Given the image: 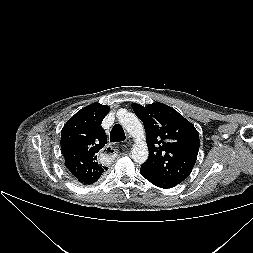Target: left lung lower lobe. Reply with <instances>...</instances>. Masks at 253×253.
Segmentation results:
<instances>
[{
	"instance_id": "1",
	"label": "left lung lower lobe",
	"mask_w": 253,
	"mask_h": 253,
	"mask_svg": "<svg viewBox=\"0 0 253 253\" xmlns=\"http://www.w3.org/2000/svg\"><path fill=\"white\" fill-rule=\"evenodd\" d=\"M140 173L144 178H146L152 184H154L155 186L160 187V188H166L167 189V188H172V187L177 185V184L171 183L169 181H166V180L160 179L158 177H155V176L143 171L142 169H140Z\"/></svg>"
}]
</instances>
